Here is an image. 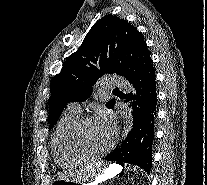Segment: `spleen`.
<instances>
[{
	"mask_svg": "<svg viewBox=\"0 0 207 185\" xmlns=\"http://www.w3.org/2000/svg\"><path fill=\"white\" fill-rule=\"evenodd\" d=\"M126 171H141V166H134V162H129ZM131 177H144V172H131Z\"/></svg>",
	"mask_w": 207,
	"mask_h": 185,
	"instance_id": "3e777b00",
	"label": "spleen"
}]
</instances>
